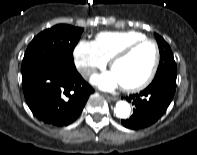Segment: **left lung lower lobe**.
<instances>
[{"mask_svg":"<svg viewBox=\"0 0 197 155\" xmlns=\"http://www.w3.org/2000/svg\"><path fill=\"white\" fill-rule=\"evenodd\" d=\"M176 89V81L156 79L139 94L127 97V101L135 106L133 115L122 120L129 129H141L155 123L171 103Z\"/></svg>","mask_w":197,"mask_h":155,"instance_id":"left-lung-lower-lobe-1","label":"left lung lower lobe"}]
</instances>
